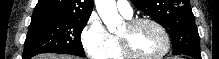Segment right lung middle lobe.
I'll use <instances>...</instances> for the list:
<instances>
[{"label": "right lung middle lobe", "instance_id": "right-lung-middle-lobe-1", "mask_svg": "<svg viewBox=\"0 0 219 59\" xmlns=\"http://www.w3.org/2000/svg\"><path fill=\"white\" fill-rule=\"evenodd\" d=\"M89 17L32 15L22 59L40 53H65L85 56L80 35Z\"/></svg>", "mask_w": 219, "mask_h": 59}]
</instances>
